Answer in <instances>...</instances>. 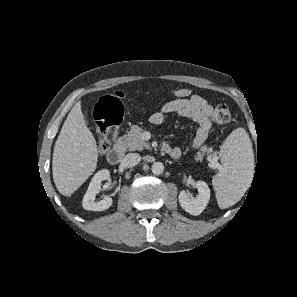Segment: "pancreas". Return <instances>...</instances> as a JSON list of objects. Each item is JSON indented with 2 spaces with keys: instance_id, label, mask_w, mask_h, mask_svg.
Wrapping results in <instances>:
<instances>
[{
  "instance_id": "obj_1",
  "label": "pancreas",
  "mask_w": 297,
  "mask_h": 297,
  "mask_svg": "<svg viewBox=\"0 0 297 297\" xmlns=\"http://www.w3.org/2000/svg\"><path fill=\"white\" fill-rule=\"evenodd\" d=\"M142 131V128L134 126L126 135L117 140V145L129 151L149 149L150 145L141 137Z\"/></svg>"
}]
</instances>
